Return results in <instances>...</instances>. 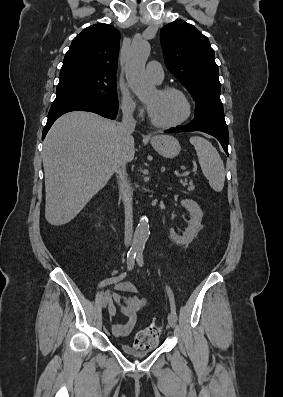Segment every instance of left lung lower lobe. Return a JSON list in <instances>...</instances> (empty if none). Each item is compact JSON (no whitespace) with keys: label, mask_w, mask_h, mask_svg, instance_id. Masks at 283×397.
Listing matches in <instances>:
<instances>
[{"label":"left lung lower lobe","mask_w":283,"mask_h":397,"mask_svg":"<svg viewBox=\"0 0 283 397\" xmlns=\"http://www.w3.org/2000/svg\"><path fill=\"white\" fill-rule=\"evenodd\" d=\"M202 131L217 138L228 155V128L224 118L209 115L196 116L189 124L166 130L167 133Z\"/></svg>","instance_id":"0a47b994"}]
</instances>
